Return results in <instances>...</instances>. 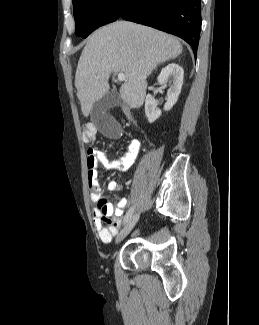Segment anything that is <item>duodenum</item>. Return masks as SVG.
I'll use <instances>...</instances> for the list:
<instances>
[{
	"mask_svg": "<svg viewBox=\"0 0 259 325\" xmlns=\"http://www.w3.org/2000/svg\"><path fill=\"white\" fill-rule=\"evenodd\" d=\"M125 113H126V115H127L129 118H131V116H130V114H129L128 111H125Z\"/></svg>",
	"mask_w": 259,
	"mask_h": 325,
	"instance_id": "410a0bca",
	"label": "duodenum"
}]
</instances>
